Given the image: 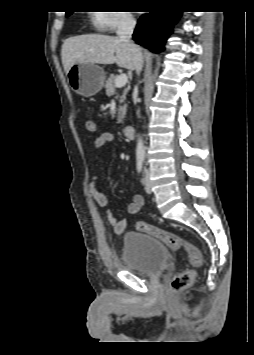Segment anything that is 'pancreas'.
<instances>
[{
  "mask_svg": "<svg viewBox=\"0 0 254 355\" xmlns=\"http://www.w3.org/2000/svg\"><path fill=\"white\" fill-rule=\"evenodd\" d=\"M116 78H117V75H110V77L106 81L105 88H106V94L108 96L116 94V86H115ZM127 92H128V89H125L121 96L116 95V99L119 98L120 99V103H123L126 100ZM126 108H127L126 104H124L123 106L119 107L117 123H122L123 122V119H124L125 114H126Z\"/></svg>",
  "mask_w": 254,
  "mask_h": 355,
  "instance_id": "1",
  "label": "pancreas"
}]
</instances>
